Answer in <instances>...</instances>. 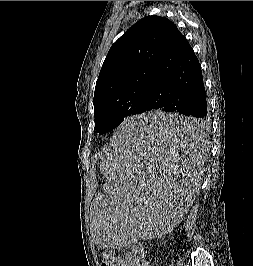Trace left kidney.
Listing matches in <instances>:
<instances>
[{"label":"left kidney","instance_id":"5707ae66","mask_svg":"<svg viewBox=\"0 0 253 266\" xmlns=\"http://www.w3.org/2000/svg\"><path fill=\"white\" fill-rule=\"evenodd\" d=\"M176 221H177V219L174 218V219L172 220V222H173L172 225H174Z\"/></svg>","mask_w":253,"mask_h":266}]
</instances>
